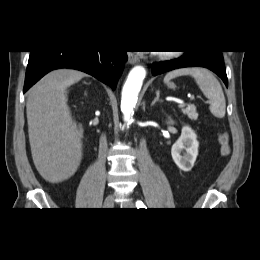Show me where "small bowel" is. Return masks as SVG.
Listing matches in <instances>:
<instances>
[{
	"label": "small bowel",
	"mask_w": 260,
	"mask_h": 260,
	"mask_svg": "<svg viewBox=\"0 0 260 260\" xmlns=\"http://www.w3.org/2000/svg\"><path fill=\"white\" fill-rule=\"evenodd\" d=\"M219 142L221 144V152L226 155L229 152V146L227 141V136L225 134L220 135Z\"/></svg>",
	"instance_id": "obj_1"
}]
</instances>
